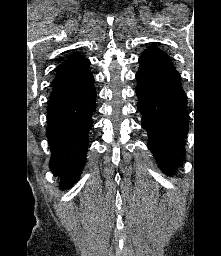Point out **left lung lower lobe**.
I'll return each mask as SVG.
<instances>
[{"instance_id":"1","label":"left lung lower lobe","mask_w":221,"mask_h":256,"mask_svg":"<svg viewBox=\"0 0 221 256\" xmlns=\"http://www.w3.org/2000/svg\"><path fill=\"white\" fill-rule=\"evenodd\" d=\"M138 110L149 134L148 148L171 175L185 155L188 111L184 90L175 68H140L136 74Z\"/></svg>"}]
</instances>
